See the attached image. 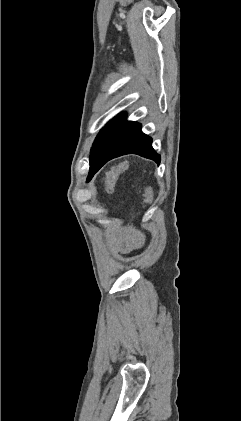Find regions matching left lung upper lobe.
Returning a JSON list of instances; mask_svg holds the SVG:
<instances>
[{"label": "left lung upper lobe", "instance_id": "5c2ea615", "mask_svg": "<svg viewBox=\"0 0 241 421\" xmlns=\"http://www.w3.org/2000/svg\"><path fill=\"white\" fill-rule=\"evenodd\" d=\"M120 117V114L118 116H116L114 119H112L97 135L92 149H91V153H90V165L93 164L94 162L97 161V159L99 158V156L101 155L107 141L108 138L116 124V122L118 121Z\"/></svg>", "mask_w": 241, "mask_h": 421}]
</instances>
